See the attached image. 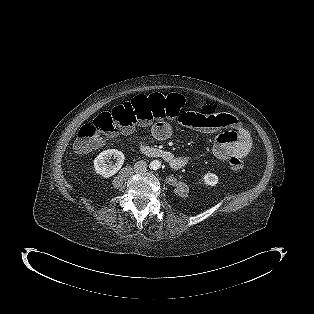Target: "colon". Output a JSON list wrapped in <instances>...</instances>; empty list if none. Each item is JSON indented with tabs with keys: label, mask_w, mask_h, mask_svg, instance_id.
Returning a JSON list of instances; mask_svg holds the SVG:
<instances>
[{
	"label": "colon",
	"mask_w": 314,
	"mask_h": 314,
	"mask_svg": "<svg viewBox=\"0 0 314 314\" xmlns=\"http://www.w3.org/2000/svg\"><path fill=\"white\" fill-rule=\"evenodd\" d=\"M195 108L179 94L138 95L111 112L100 113L92 123L83 125L78 131L73 148L75 152L85 154L101 147L104 136L129 132L138 125H147L161 119H176L178 112ZM229 164L234 170L244 168V162L237 157L231 158Z\"/></svg>",
	"instance_id": "obj_1"
}]
</instances>
